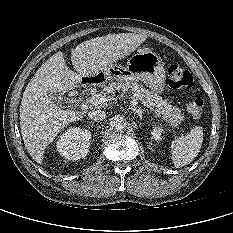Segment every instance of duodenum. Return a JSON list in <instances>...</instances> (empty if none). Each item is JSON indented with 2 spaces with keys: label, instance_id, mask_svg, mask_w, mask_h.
<instances>
[{
  "label": "duodenum",
  "instance_id": "1",
  "mask_svg": "<svg viewBox=\"0 0 233 233\" xmlns=\"http://www.w3.org/2000/svg\"><path fill=\"white\" fill-rule=\"evenodd\" d=\"M100 81H101V76L100 75H96V76H93V77L83 79V83L87 84V85H94V84L99 83Z\"/></svg>",
  "mask_w": 233,
  "mask_h": 233
}]
</instances>
